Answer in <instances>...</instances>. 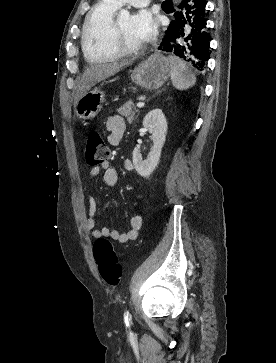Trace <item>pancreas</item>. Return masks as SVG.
<instances>
[{"label":"pancreas","mask_w":276,"mask_h":363,"mask_svg":"<svg viewBox=\"0 0 276 363\" xmlns=\"http://www.w3.org/2000/svg\"><path fill=\"white\" fill-rule=\"evenodd\" d=\"M117 112L120 115L125 116L129 123H133V121L135 120V114L138 112V110H136L133 101H128L119 109H117Z\"/></svg>","instance_id":"pancreas-1"}]
</instances>
